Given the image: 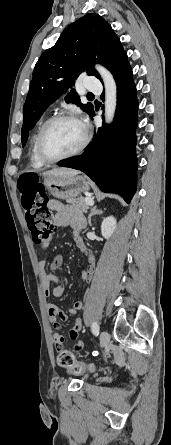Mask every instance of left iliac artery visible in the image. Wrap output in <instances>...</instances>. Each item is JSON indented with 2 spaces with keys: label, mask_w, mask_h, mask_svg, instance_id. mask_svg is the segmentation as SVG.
Returning a JSON list of instances; mask_svg holds the SVG:
<instances>
[{
  "label": "left iliac artery",
  "mask_w": 171,
  "mask_h": 445,
  "mask_svg": "<svg viewBox=\"0 0 171 445\" xmlns=\"http://www.w3.org/2000/svg\"><path fill=\"white\" fill-rule=\"evenodd\" d=\"M91 328H92V333L95 336H97L99 334V325H98V323L97 322H93Z\"/></svg>",
  "instance_id": "44dca946"
}]
</instances>
